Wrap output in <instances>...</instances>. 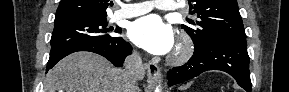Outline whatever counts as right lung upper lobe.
I'll use <instances>...</instances> for the list:
<instances>
[{"label": "right lung upper lobe", "mask_w": 289, "mask_h": 92, "mask_svg": "<svg viewBox=\"0 0 289 92\" xmlns=\"http://www.w3.org/2000/svg\"><path fill=\"white\" fill-rule=\"evenodd\" d=\"M109 0H61L55 15V22L74 18L106 19Z\"/></svg>", "instance_id": "right-lung-upper-lobe-1"}]
</instances>
